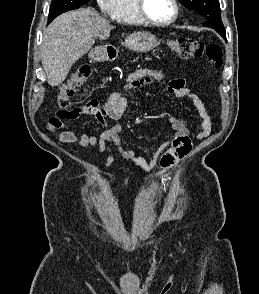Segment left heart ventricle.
I'll list each match as a JSON object with an SVG mask.
<instances>
[{"instance_id":"b2bd125f","label":"left heart ventricle","mask_w":259,"mask_h":294,"mask_svg":"<svg viewBox=\"0 0 259 294\" xmlns=\"http://www.w3.org/2000/svg\"><path fill=\"white\" fill-rule=\"evenodd\" d=\"M147 14L156 21H167L174 13L171 0H146Z\"/></svg>"}]
</instances>
